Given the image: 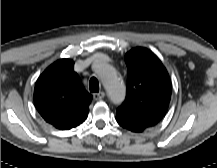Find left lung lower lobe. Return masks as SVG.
<instances>
[{
    "mask_svg": "<svg viewBox=\"0 0 217 168\" xmlns=\"http://www.w3.org/2000/svg\"><path fill=\"white\" fill-rule=\"evenodd\" d=\"M120 125H121L122 127L126 128V129L130 130V131L135 132V129H133L131 126H127V125H124V124H120Z\"/></svg>",
    "mask_w": 217,
    "mask_h": 168,
    "instance_id": "obj_1",
    "label": "left lung lower lobe"
}]
</instances>
